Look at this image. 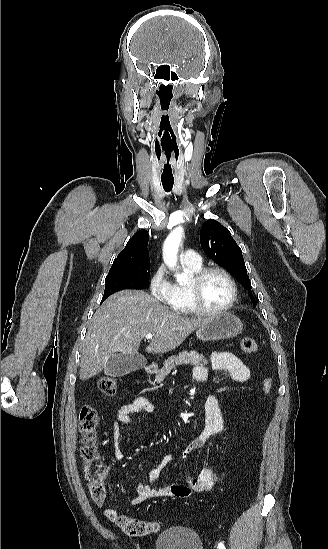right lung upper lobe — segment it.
Listing matches in <instances>:
<instances>
[{
	"mask_svg": "<svg viewBox=\"0 0 328 549\" xmlns=\"http://www.w3.org/2000/svg\"><path fill=\"white\" fill-rule=\"evenodd\" d=\"M148 240L149 234L146 230L136 232L118 254L110 270L119 269L137 261L149 260Z\"/></svg>",
	"mask_w": 328,
	"mask_h": 549,
	"instance_id": "obj_1",
	"label": "right lung upper lobe"
}]
</instances>
